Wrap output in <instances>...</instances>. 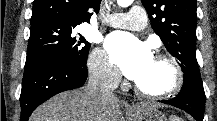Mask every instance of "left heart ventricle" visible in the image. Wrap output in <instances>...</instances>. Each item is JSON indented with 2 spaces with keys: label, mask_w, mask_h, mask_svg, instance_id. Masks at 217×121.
I'll use <instances>...</instances> for the list:
<instances>
[{
  "label": "left heart ventricle",
  "mask_w": 217,
  "mask_h": 121,
  "mask_svg": "<svg viewBox=\"0 0 217 121\" xmlns=\"http://www.w3.org/2000/svg\"><path fill=\"white\" fill-rule=\"evenodd\" d=\"M135 81L146 90L160 91L170 85L172 72L165 62L153 58L141 76Z\"/></svg>",
  "instance_id": "1"
}]
</instances>
